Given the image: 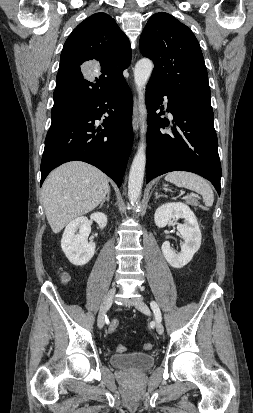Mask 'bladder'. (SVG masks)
Segmentation results:
<instances>
[{
  "mask_svg": "<svg viewBox=\"0 0 253 413\" xmlns=\"http://www.w3.org/2000/svg\"><path fill=\"white\" fill-rule=\"evenodd\" d=\"M110 363L119 369L139 372L151 368L155 363V357L151 353L144 352L113 354Z\"/></svg>",
  "mask_w": 253,
  "mask_h": 413,
  "instance_id": "bladder-1",
  "label": "bladder"
}]
</instances>
